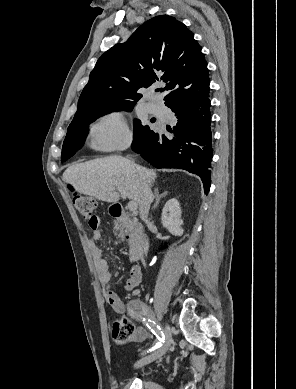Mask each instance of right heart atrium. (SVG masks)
Instances as JSON below:
<instances>
[{
  "mask_svg": "<svg viewBox=\"0 0 296 389\" xmlns=\"http://www.w3.org/2000/svg\"><path fill=\"white\" fill-rule=\"evenodd\" d=\"M91 145L98 150L110 151L127 147L131 133L124 114L117 109L101 115L91 126Z\"/></svg>",
  "mask_w": 296,
  "mask_h": 389,
  "instance_id": "1",
  "label": "right heart atrium"
}]
</instances>
